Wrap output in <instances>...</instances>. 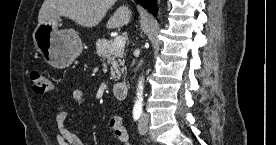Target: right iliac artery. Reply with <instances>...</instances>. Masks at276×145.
<instances>
[{
	"label": "right iliac artery",
	"mask_w": 276,
	"mask_h": 145,
	"mask_svg": "<svg viewBox=\"0 0 276 145\" xmlns=\"http://www.w3.org/2000/svg\"><path fill=\"white\" fill-rule=\"evenodd\" d=\"M142 115V108L141 107H134L133 108V118L135 121L139 120Z\"/></svg>",
	"instance_id": "obj_1"
}]
</instances>
